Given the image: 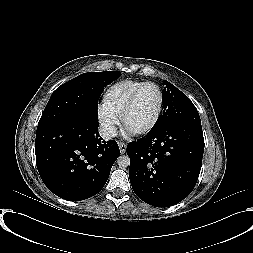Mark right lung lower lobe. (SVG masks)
Here are the masks:
<instances>
[{"instance_id": "98d812e1", "label": "right lung lower lobe", "mask_w": 253, "mask_h": 253, "mask_svg": "<svg viewBox=\"0 0 253 253\" xmlns=\"http://www.w3.org/2000/svg\"><path fill=\"white\" fill-rule=\"evenodd\" d=\"M36 163L55 195L80 201L97 194L120 155L116 141H104L98 120L75 116L37 127Z\"/></svg>"}]
</instances>
